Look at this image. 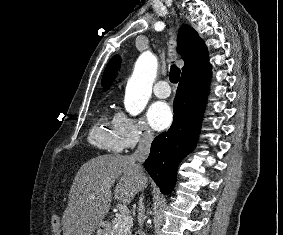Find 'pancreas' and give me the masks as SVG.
<instances>
[{
	"label": "pancreas",
	"instance_id": "obj_1",
	"mask_svg": "<svg viewBox=\"0 0 283 235\" xmlns=\"http://www.w3.org/2000/svg\"><path fill=\"white\" fill-rule=\"evenodd\" d=\"M114 235H132L133 218L130 215H119L112 220Z\"/></svg>",
	"mask_w": 283,
	"mask_h": 235
}]
</instances>
